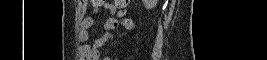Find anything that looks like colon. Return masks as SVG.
Segmentation results:
<instances>
[{
	"instance_id": "1",
	"label": "colon",
	"mask_w": 267,
	"mask_h": 60,
	"mask_svg": "<svg viewBox=\"0 0 267 60\" xmlns=\"http://www.w3.org/2000/svg\"><path fill=\"white\" fill-rule=\"evenodd\" d=\"M93 2L95 4L101 5L104 1H102V0H93ZM128 2H130V1L129 0H116V1H114V3L119 6V9L123 8V5L128 4ZM120 23L123 24V25L125 24L124 21L120 22L118 20H115L114 22L111 23V26H112L113 29H115Z\"/></svg>"
}]
</instances>
